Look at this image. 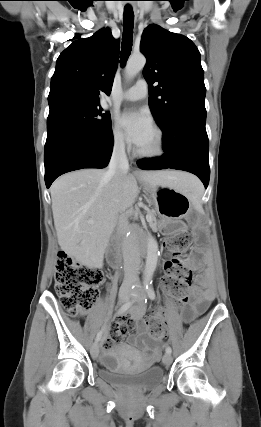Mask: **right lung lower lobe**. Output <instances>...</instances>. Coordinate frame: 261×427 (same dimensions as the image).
Returning <instances> with one entry per match:
<instances>
[{"label":"right lung lower lobe","mask_w":261,"mask_h":427,"mask_svg":"<svg viewBox=\"0 0 261 427\" xmlns=\"http://www.w3.org/2000/svg\"><path fill=\"white\" fill-rule=\"evenodd\" d=\"M113 149L112 131L87 135L70 130L47 135L44 152L45 183L49 188L60 175L83 168H104Z\"/></svg>","instance_id":"98d812e1"}]
</instances>
